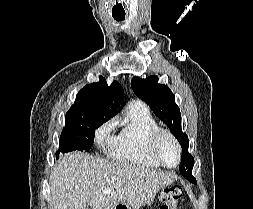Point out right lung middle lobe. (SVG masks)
I'll return each mask as SVG.
<instances>
[{
    "mask_svg": "<svg viewBox=\"0 0 253 209\" xmlns=\"http://www.w3.org/2000/svg\"><path fill=\"white\" fill-rule=\"evenodd\" d=\"M108 120L107 117L91 114L65 121L56 157H59L60 152L89 151L94 142V130Z\"/></svg>",
    "mask_w": 253,
    "mask_h": 209,
    "instance_id": "1",
    "label": "right lung middle lobe"
}]
</instances>
